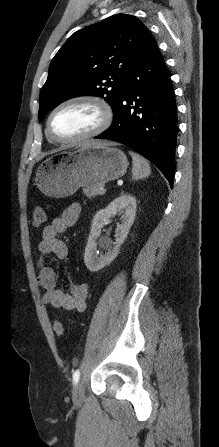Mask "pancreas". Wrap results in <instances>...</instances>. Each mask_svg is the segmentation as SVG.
Segmentation results:
<instances>
[{
  "label": "pancreas",
  "mask_w": 219,
  "mask_h": 447,
  "mask_svg": "<svg viewBox=\"0 0 219 447\" xmlns=\"http://www.w3.org/2000/svg\"><path fill=\"white\" fill-rule=\"evenodd\" d=\"M102 186L101 185H97V186H86L83 188V193L88 197V198H94L97 195L102 194L101 193V189Z\"/></svg>",
  "instance_id": "cf45deb5"
}]
</instances>
